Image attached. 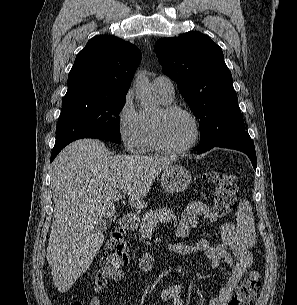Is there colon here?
Here are the masks:
<instances>
[{"label":"colon","mask_w":297,"mask_h":305,"mask_svg":"<svg viewBox=\"0 0 297 305\" xmlns=\"http://www.w3.org/2000/svg\"><path fill=\"white\" fill-rule=\"evenodd\" d=\"M206 179L215 183L213 195V212L216 217L223 218L229 214L235 206L237 185L234 174L216 169L206 175ZM127 241L122 231L113 233L105 249L103 263L105 269H111L124 264L127 261ZM261 287V278L258 272L251 271L240 284L235 295L229 301V305H250L256 298ZM69 305H81L72 298Z\"/></svg>","instance_id":"colon-1"}]
</instances>
